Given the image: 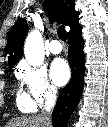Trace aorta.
I'll return each instance as SVG.
<instances>
[{"label": "aorta", "instance_id": "762f6f07", "mask_svg": "<svg viewBox=\"0 0 108 127\" xmlns=\"http://www.w3.org/2000/svg\"><path fill=\"white\" fill-rule=\"evenodd\" d=\"M24 55L27 62L33 66L38 67L43 64L45 52L43 38L39 31H31L25 40Z\"/></svg>", "mask_w": 108, "mask_h": 127}]
</instances>
